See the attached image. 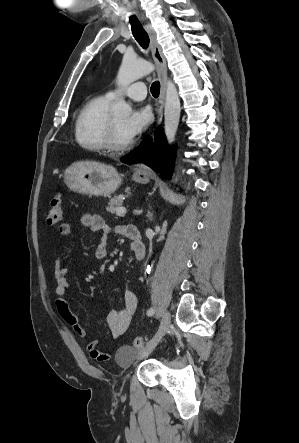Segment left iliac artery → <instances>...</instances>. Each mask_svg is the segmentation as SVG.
Here are the masks:
<instances>
[{"label": "left iliac artery", "mask_w": 299, "mask_h": 443, "mask_svg": "<svg viewBox=\"0 0 299 443\" xmlns=\"http://www.w3.org/2000/svg\"><path fill=\"white\" fill-rule=\"evenodd\" d=\"M155 313V309L154 308H150L148 311H147V316H151V315H153Z\"/></svg>", "instance_id": "left-iliac-artery-1"}]
</instances>
